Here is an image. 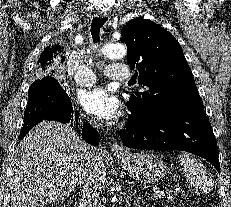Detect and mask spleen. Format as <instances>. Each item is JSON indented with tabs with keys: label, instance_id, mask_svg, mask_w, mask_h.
<instances>
[{
	"label": "spleen",
	"instance_id": "3e777b00",
	"mask_svg": "<svg viewBox=\"0 0 231 207\" xmlns=\"http://www.w3.org/2000/svg\"><path fill=\"white\" fill-rule=\"evenodd\" d=\"M179 160L183 173L194 186L195 193H208L214 182L208 175L205 166L187 153L180 155Z\"/></svg>",
	"mask_w": 231,
	"mask_h": 207
}]
</instances>
